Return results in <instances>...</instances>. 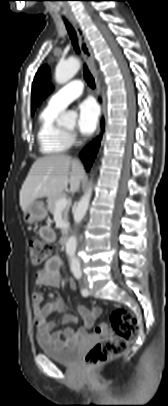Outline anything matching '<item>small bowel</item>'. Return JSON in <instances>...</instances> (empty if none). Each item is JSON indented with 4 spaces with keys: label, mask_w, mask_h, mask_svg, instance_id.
Listing matches in <instances>:
<instances>
[{
    "label": "small bowel",
    "mask_w": 168,
    "mask_h": 406,
    "mask_svg": "<svg viewBox=\"0 0 168 406\" xmlns=\"http://www.w3.org/2000/svg\"><path fill=\"white\" fill-rule=\"evenodd\" d=\"M39 235L48 242H53L55 240V232L48 226L40 228ZM61 267L62 262L59 255H52L47 260L44 268L35 272V286L58 285L60 282ZM70 287L75 289L76 283L71 281ZM48 297L51 299V301L43 304V296L37 291L32 293V309L34 321L37 326L38 337H41L58 346H71L76 341L87 338V329L94 326L95 321L102 313V309L98 306H93L90 309L84 306H79L78 310L84 320V328L74 330L73 328L66 326L61 332H55V322L48 320V316L53 312L64 313L67 307L61 298H55L52 293H49ZM76 321V318L69 315H64L62 317L63 324H69ZM100 334L101 333L98 331L97 327L96 335Z\"/></svg>",
    "instance_id": "c3829d8e"
}]
</instances>
